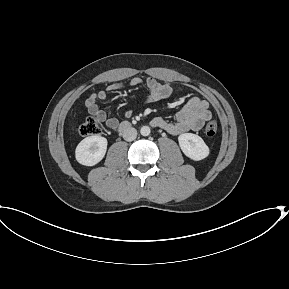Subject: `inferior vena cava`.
<instances>
[{"mask_svg": "<svg viewBox=\"0 0 289 289\" xmlns=\"http://www.w3.org/2000/svg\"><path fill=\"white\" fill-rule=\"evenodd\" d=\"M137 137V130L129 127L123 131V138L126 141H133Z\"/></svg>", "mask_w": 289, "mask_h": 289, "instance_id": "1", "label": "inferior vena cava"}]
</instances>
